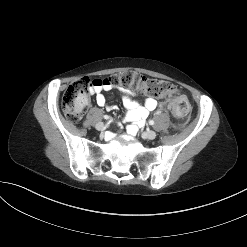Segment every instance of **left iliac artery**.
Here are the masks:
<instances>
[{
  "instance_id": "1",
  "label": "left iliac artery",
  "mask_w": 247,
  "mask_h": 247,
  "mask_svg": "<svg viewBox=\"0 0 247 247\" xmlns=\"http://www.w3.org/2000/svg\"><path fill=\"white\" fill-rule=\"evenodd\" d=\"M149 124H150V125H154V121H153V120H150V121H149Z\"/></svg>"
}]
</instances>
